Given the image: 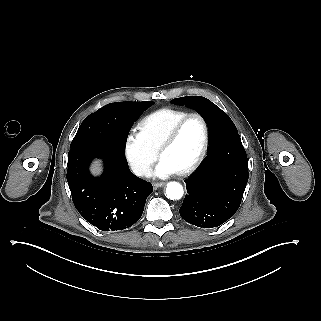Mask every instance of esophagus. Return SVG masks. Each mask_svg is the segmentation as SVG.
I'll use <instances>...</instances> for the list:
<instances>
[{
  "instance_id": "1",
  "label": "esophagus",
  "mask_w": 321,
  "mask_h": 321,
  "mask_svg": "<svg viewBox=\"0 0 321 321\" xmlns=\"http://www.w3.org/2000/svg\"><path fill=\"white\" fill-rule=\"evenodd\" d=\"M154 187L159 188L165 185V182H157V183H153Z\"/></svg>"
}]
</instances>
